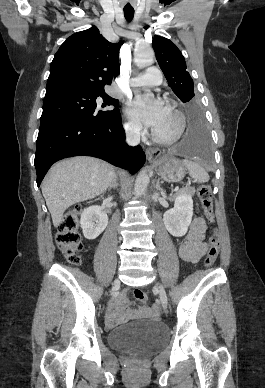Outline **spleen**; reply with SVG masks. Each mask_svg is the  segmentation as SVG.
Returning a JSON list of instances; mask_svg holds the SVG:
<instances>
[{
  "mask_svg": "<svg viewBox=\"0 0 265 388\" xmlns=\"http://www.w3.org/2000/svg\"><path fill=\"white\" fill-rule=\"evenodd\" d=\"M184 166H186L190 178H195L197 182H200V184H203V182H208L209 176L199 164H196V162H190V160H183Z\"/></svg>",
  "mask_w": 265,
  "mask_h": 388,
  "instance_id": "spleen-1",
  "label": "spleen"
}]
</instances>
